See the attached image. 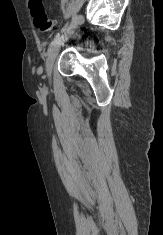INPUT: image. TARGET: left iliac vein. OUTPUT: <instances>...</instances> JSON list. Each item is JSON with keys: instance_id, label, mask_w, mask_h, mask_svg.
Listing matches in <instances>:
<instances>
[{"instance_id": "left-iliac-vein-1", "label": "left iliac vein", "mask_w": 163, "mask_h": 235, "mask_svg": "<svg viewBox=\"0 0 163 235\" xmlns=\"http://www.w3.org/2000/svg\"><path fill=\"white\" fill-rule=\"evenodd\" d=\"M64 41L65 40H60V42L55 44L51 48V50L49 51V56H48L47 62H46V72H47L48 77H50L52 74L55 59H56V57L60 51L61 45L63 44Z\"/></svg>"}]
</instances>
